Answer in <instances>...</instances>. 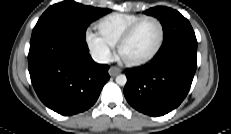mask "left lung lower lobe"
Here are the masks:
<instances>
[{
	"label": "left lung lower lobe",
	"mask_w": 231,
	"mask_h": 134,
	"mask_svg": "<svg viewBox=\"0 0 231 134\" xmlns=\"http://www.w3.org/2000/svg\"><path fill=\"white\" fill-rule=\"evenodd\" d=\"M197 41L178 42L164 48L149 65L126 71L124 95L144 114L162 116L186 97L196 71Z\"/></svg>",
	"instance_id": "0a47b994"
}]
</instances>
